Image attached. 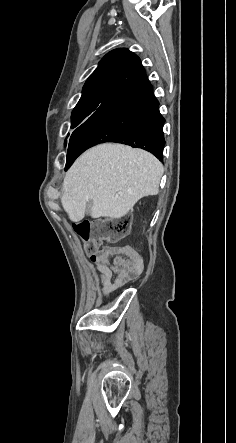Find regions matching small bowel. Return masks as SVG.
Instances as JSON below:
<instances>
[{"label": "small bowel", "instance_id": "obj_1", "mask_svg": "<svg viewBox=\"0 0 236 443\" xmlns=\"http://www.w3.org/2000/svg\"><path fill=\"white\" fill-rule=\"evenodd\" d=\"M100 281L105 293L110 294L122 289L136 279L143 270V259L132 247L107 246L101 248L95 258Z\"/></svg>", "mask_w": 236, "mask_h": 443}]
</instances>
